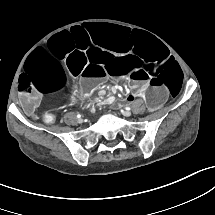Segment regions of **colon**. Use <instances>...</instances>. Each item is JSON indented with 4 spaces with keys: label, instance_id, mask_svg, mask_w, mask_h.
Masks as SVG:
<instances>
[{
    "label": "colon",
    "instance_id": "5ec220e1",
    "mask_svg": "<svg viewBox=\"0 0 215 215\" xmlns=\"http://www.w3.org/2000/svg\"><path fill=\"white\" fill-rule=\"evenodd\" d=\"M43 119L46 123L51 124L55 121V116L52 112L46 111L43 115Z\"/></svg>",
    "mask_w": 215,
    "mask_h": 215
}]
</instances>
